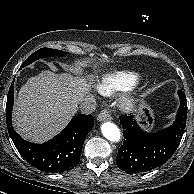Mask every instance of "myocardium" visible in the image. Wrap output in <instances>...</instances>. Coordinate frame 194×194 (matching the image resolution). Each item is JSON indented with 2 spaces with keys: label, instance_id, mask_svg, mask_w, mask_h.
I'll return each instance as SVG.
<instances>
[{
  "label": "myocardium",
  "instance_id": "obj_1",
  "mask_svg": "<svg viewBox=\"0 0 194 194\" xmlns=\"http://www.w3.org/2000/svg\"><path fill=\"white\" fill-rule=\"evenodd\" d=\"M137 103V98L134 95H129L121 100L120 107L125 111L132 110Z\"/></svg>",
  "mask_w": 194,
  "mask_h": 194
}]
</instances>
